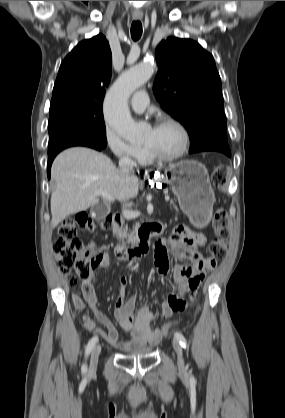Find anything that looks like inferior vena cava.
<instances>
[{
	"label": "inferior vena cava",
	"mask_w": 285,
	"mask_h": 418,
	"mask_svg": "<svg viewBox=\"0 0 285 418\" xmlns=\"http://www.w3.org/2000/svg\"><path fill=\"white\" fill-rule=\"evenodd\" d=\"M119 167L122 170L123 173H125L128 176H135L134 175V167H136V162H134L133 160H131L128 157H121L119 160ZM123 201V200H121ZM123 216L126 219H130L131 218V213L129 210H123L122 211Z\"/></svg>",
	"instance_id": "inferior-vena-cava-1"
}]
</instances>
